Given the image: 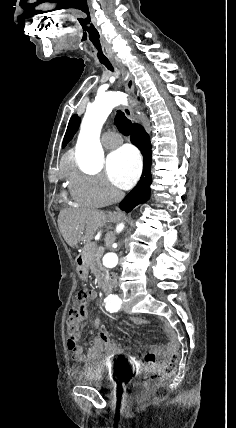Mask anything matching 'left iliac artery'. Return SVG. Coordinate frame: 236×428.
<instances>
[{
  "label": "left iliac artery",
  "instance_id": "1",
  "mask_svg": "<svg viewBox=\"0 0 236 428\" xmlns=\"http://www.w3.org/2000/svg\"><path fill=\"white\" fill-rule=\"evenodd\" d=\"M104 302H106V310L110 313L117 312L122 304L121 299L117 295L112 294H110L106 299H104Z\"/></svg>",
  "mask_w": 236,
  "mask_h": 428
}]
</instances>
